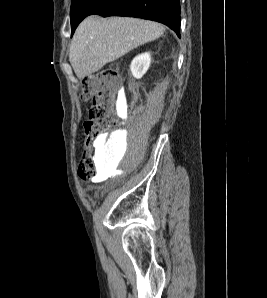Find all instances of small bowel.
<instances>
[{
	"label": "small bowel",
	"mask_w": 267,
	"mask_h": 298,
	"mask_svg": "<svg viewBox=\"0 0 267 298\" xmlns=\"http://www.w3.org/2000/svg\"><path fill=\"white\" fill-rule=\"evenodd\" d=\"M115 132H110L109 134H107L106 139L111 140L114 137Z\"/></svg>",
	"instance_id": "1"
}]
</instances>
